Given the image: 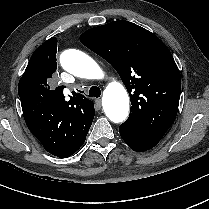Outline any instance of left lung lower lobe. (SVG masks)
Returning a JSON list of instances; mask_svg holds the SVG:
<instances>
[{
    "mask_svg": "<svg viewBox=\"0 0 209 209\" xmlns=\"http://www.w3.org/2000/svg\"><path fill=\"white\" fill-rule=\"evenodd\" d=\"M119 132L126 144L137 152L149 150L156 146L160 141L145 135L140 130L129 125L122 124L119 127Z\"/></svg>",
    "mask_w": 209,
    "mask_h": 209,
    "instance_id": "obj_1",
    "label": "left lung lower lobe"
}]
</instances>
